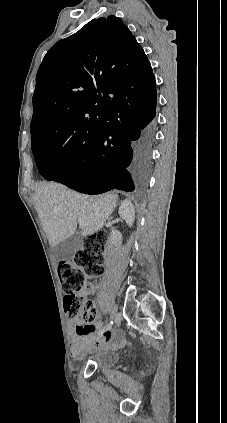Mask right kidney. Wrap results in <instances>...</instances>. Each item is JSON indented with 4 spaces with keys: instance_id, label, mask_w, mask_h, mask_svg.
<instances>
[{
    "instance_id": "right-kidney-1",
    "label": "right kidney",
    "mask_w": 227,
    "mask_h": 423,
    "mask_svg": "<svg viewBox=\"0 0 227 423\" xmlns=\"http://www.w3.org/2000/svg\"><path fill=\"white\" fill-rule=\"evenodd\" d=\"M119 215L122 219H125L126 223H128L129 227H132L135 219V208L131 202V200H124L119 208ZM110 239L113 245H120L122 243V233L118 231V229H112L110 231Z\"/></svg>"
}]
</instances>
